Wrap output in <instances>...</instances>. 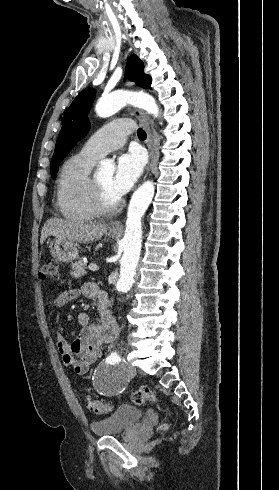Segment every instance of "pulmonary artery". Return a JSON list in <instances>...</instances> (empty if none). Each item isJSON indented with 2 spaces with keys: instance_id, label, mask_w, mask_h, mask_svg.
<instances>
[{
  "instance_id": "pulmonary-artery-1",
  "label": "pulmonary artery",
  "mask_w": 279,
  "mask_h": 490,
  "mask_svg": "<svg viewBox=\"0 0 279 490\" xmlns=\"http://www.w3.org/2000/svg\"><path fill=\"white\" fill-rule=\"evenodd\" d=\"M129 123L128 117H114L113 122L91 134L80 152L90 159L99 160L110 151L121 147L126 142L127 134L132 130L128 128Z\"/></svg>"
}]
</instances>
